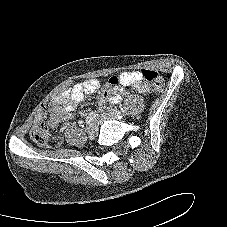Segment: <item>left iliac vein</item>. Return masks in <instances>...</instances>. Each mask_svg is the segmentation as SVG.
Returning <instances> with one entry per match:
<instances>
[{
    "label": "left iliac vein",
    "mask_w": 227,
    "mask_h": 227,
    "mask_svg": "<svg viewBox=\"0 0 227 227\" xmlns=\"http://www.w3.org/2000/svg\"><path fill=\"white\" fill-rule=\"evenodd\" d=\"M123 114H120V115H115L113 113H105V114H102L98 120H97V123L98 124H101L103 123V121L105 120H114V119H122L123 118Z\"/></svg>",
    "instance_id": "obj_1"
}]
</instances>
